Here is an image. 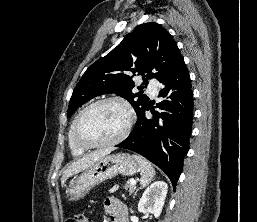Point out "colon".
Segmentation results:
<instances>
[{
  "instance_id": "1",
  "label": "colon",
  "mask_w": 257,
  "mask_h": 222,
  "mask_svg": "<svg viewBox=\"0 0 257 222\" xmlns=\"http://www.w3.org/2000/svg\"><path fill=\"white\" fill-rule=\"evenodd\" d=\"M66 222H92V219L90 216L86 214H78L75 215L74 217L70 218Z\"/></svg>"
}]
</instances>
